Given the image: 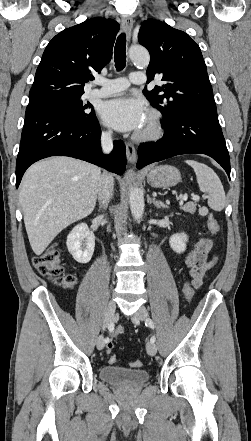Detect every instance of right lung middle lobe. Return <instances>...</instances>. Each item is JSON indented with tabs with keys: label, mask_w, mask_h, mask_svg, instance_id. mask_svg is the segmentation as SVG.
I'll return each mask as SVG.
<instances>
[{
	"label": "right lung middle lobe",
	"mask_w": 251,
	"mask_h": 441,
	"mask_svg": "<svg viewBox=\"0 0 251 441\" xmlns=\"http://www.w3.org/2000/svg\"><path fill=\"white\" fill-rule=\"evenodd\" d=\"M82 95H54L35 102L29 103L31 106L46 108L61 114H64L77 121H87L95 116L93 106L83 104Z\"/></svg>",
	"instance_id": "dd1d6c3e"
}]
</instances>
